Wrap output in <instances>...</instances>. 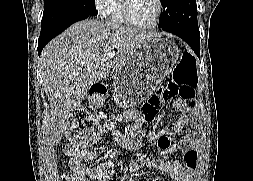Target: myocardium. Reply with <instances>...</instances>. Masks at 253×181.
<instances>
[{"instance_id":"1","label":"myocardium","mask_w":253,"mask_h":181,"mask_svg":"<svg viewBox=\"0 0 253 181\" xmlns=\"http://www.w3.org/2000/svg\"><path fill=\"white\" fill-rule=\"evenodd\" d=\"M121 2H122V12H123L125 22L128 23L129 25L136 28H140V29H152V28H155L159 24L162 17V13H163L162 0H156V4H157L156 16L154 20L148 24L140 23L134 19L131 13V9H130V0H121Z\"/></svg>"}]
</instances>
